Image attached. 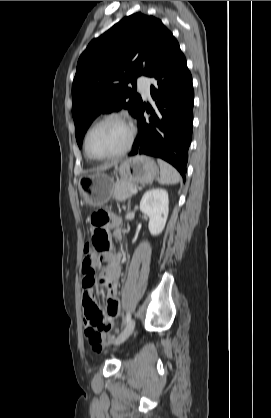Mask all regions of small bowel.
I'll return each mask as SVG.
<instances>
[{"label": "small bowel", "instance_id": "obj_1", "mask_svg": "<svg viewBox=\"0 0 271 418\" xmlns=\"http://www.w3.org/2000/svg\"><path fill=\"white\" fill-rule=\"evenodd\" d=\"M106 224L111 227H118L120 221L115 216H107ZM97 272L100 273L97 280L98 285L106 286L107 301L103 308L99 307L96 303L94 273ZM119 272V258L108 252L103 253L99 258L93 254H87L82 262V305L85 313V329L88 327L86 318L88 310L97 308L109 326L108 330L103 333V339L108 338V332L112 329L114 321L119 316V302L117 299V279ZM94 350L100 351V349Z\"/></svg>", "mask_w": 271, "mask_h": 418}]
</instances>
